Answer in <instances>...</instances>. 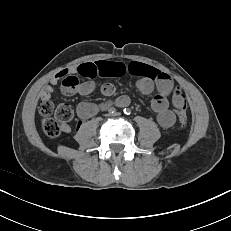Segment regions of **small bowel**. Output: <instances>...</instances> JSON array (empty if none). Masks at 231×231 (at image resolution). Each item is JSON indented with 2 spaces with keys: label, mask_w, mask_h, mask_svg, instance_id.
Wrapping results in <instances>:
<instances>
[{
  "label": "small bowel",
  "mask_w": 231,
  "mask_h": 231,
  "mask_svg": "<svg viewBox=\"0 0 231 231\" xmlns=\"http://www.w3.org/2000/svg\"><path fill=\"white\" fill-rule=\"evenodd\" d=\"M71 73L86 78L77 89L80 95L87 96L95 89L94 78L97 77H118L126 73H130L138 78L136 82L137 89L143 94H150L155 89L151 101V107L157 114V122L163 128H170L176 121L175 113L170 109V102L176 107L178 97L182 94L180 89L174 84L172 78L165 72H162L152 66L132 61L128 64L122 62L97 61L87 62L77 66L74 70H62L53 76L45 85L41 99H50L54 91V87L64 77ZM101 91L104 95L110 96L114 93V86L110 83L103 84ZM116 103L124 106L129 103L127 96H120ZM102 108V106L82 102L77 106V115L80 119H89L93 117ZM62 130L70 131V126L63 124Z\"/></svg>",
  "instance_id": "c3829d8e"
}]
</instances>
